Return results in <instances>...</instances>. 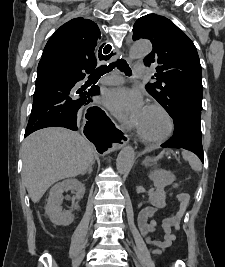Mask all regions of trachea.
<instances>
[{
    "label": "trachea",
    "mask_w": 225,
    "mask_h": 267,
    "mask_svg": "<svg viewBox=\"0 0 225 267\" xmlns=\"http://www.w3.org/2000/svg\"><path fill=\"white\" fill-rule=\"evenodd\" d=\"M117 68L121 71L124 72L126 75L130 76L132 74L131 69L127 62L124 59H118L117 62L111 63L108 66L107 65H101L100 67L96 68L94 73L98 75H103L105 73H108L112 71L113 68Z\"/></svg>",
    "instance_id": "3493384b"
}]
</instances>
